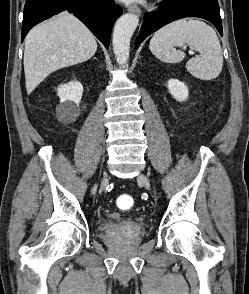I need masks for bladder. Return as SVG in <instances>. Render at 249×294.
<instances>
[{"label": "bladder", "mask_w": 249, "mask_h": 294, "mask_svg": "<svg viewBox=\"0 0 249 294\" xmlns=\"http://www.w3.org/2000/svg\"><path fill=\"white\" fill-rule=\"evenodd\" d=\"M141 224L142 220L139 217L117 216L105 224L104 233L106 235H112L117 233L120 228L132 226L141 227Z\"/></svg>", "instance_id": "1"}]
</instances>
